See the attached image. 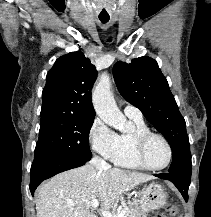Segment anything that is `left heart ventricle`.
<instances>
[{"label":"left heart ventricle","instance_id":"left-heart-ventricle-1","mask_svg":"<svg viewBox=\"0 0 211 217\" xmlns=\"http://www.w3.org/2000/svg\"><path fill=\"white\" fill-rule=\"evenodd\" d=\"M146 158L153 167H162L168 160V150L159 138H152L146 148Z\"/></svg>","mask_w":211,"mask_h":217}]
</instances>
